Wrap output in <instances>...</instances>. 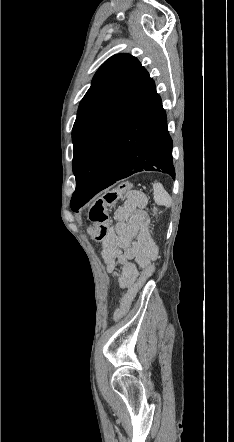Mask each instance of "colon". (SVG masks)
<instances>
[{"label": "colon", "instance_id": "5ec220e1", "mask_svg": "<svg viewBox=\"0 0 234 442\" xmlns=\"http://www.w3.org/2000/svg\"><path fill=\"white\" fill-rule=\"evenodd\" d=\"M132 187L133 185L129 182L122 183L118 187L105 192L92 204L89 210V219L93 225L91 234L95 240L104 239L108 233V207L115 204L119 199L127 196L132 190ZM159 266L160 263L157 260L148 263L147 268L142 272L138 281L123 297L121 306L114 316L116 320L121 318L127 312L136 294Z\"/></svg>", "mask_w": 234, "mask_h": 442}]
</instances>
